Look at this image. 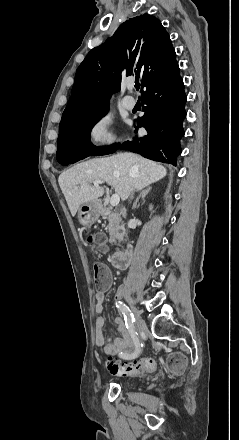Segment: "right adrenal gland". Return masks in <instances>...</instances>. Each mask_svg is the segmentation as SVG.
Listing matches in <instances>:
<instances>
[{
	"instance_id": "right-adrenal-gland-1",
	"label": "right adrenal gland",
	"mask_w": 239,
	"mask_h": 440,
	"mask_svg": "<svg viewBox=\"0 0 239 440\" xmlns=\"http://www.w3.org/2000/svg\"><path fill=\"white\" fill-rule=\"evenodd\" d=\"M150 190H152V188H150V186H147L146 190H142V192H140L137 200H135V202L132 206V210H135V208H137V204H138L140 198H142V200H143V198H145V196H147V194H149Z\"/></svg>"
}]
</instances>
